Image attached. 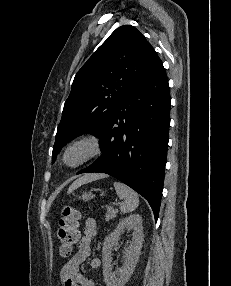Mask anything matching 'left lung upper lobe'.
<instances>
[{
    "instance_id": "1",
    "label": "left lung upper lobe",
    "mask_w": 231,
    "mask_h": 286,
    "mask_svg": "<svg viewBox=\"0 0 231 286\" xmlns=\"http://www.w3.org/2000/svg\"><path fill=\"white\" fill-rule=\"evenodd\" d=\"M160 61L133 26L117 28L77 72L57 128L52 162L67 141L98 136L122 97Z\"/></svg>"
}]
</instances>
